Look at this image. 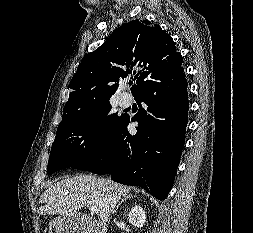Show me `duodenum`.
<instances>
[{
  "instance_id": "1",
  "label": "duodenum",
  "mask_w": 253,
  "mask_h": 233,
  "mask_svg": "<svg viewBox=\"0 0 253 233\" xmlns=\"http://www.w3.org/2000/svg\"><path fill=\"white\" fill-rule=\"evenodd\" d=\"M88 233H100L96 227L91 226V229L88 230Z\"/></svg>"
}]
</instances>
